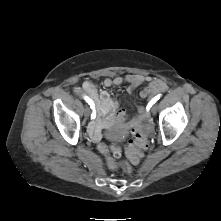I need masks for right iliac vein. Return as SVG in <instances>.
<instances>
[{"label": "right iliac vein", "mask_w": 221, "mask_h": 221, "mask_svg": "<svg viewBox=\"0 0 221 221\" xmlns=\"http://www.w3.org/2000/svg\"><path fill=\"white\" fill-rule=\"evenodd\" d=\"M89 114H90V109H89V107L86 106L85 109H84V116L88 117Z\"/></svg>", "instance_id": "right-iliac-vein-1"}]
</instances>
